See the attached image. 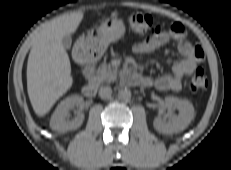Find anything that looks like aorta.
I'll return each mask as SVG.
<instances>
[{
    "mask_svg": "<svg viewBox=\"0 0 231 170\" xmlns=\"http://www.w3.org/2000/svg\"><path fill=\"white\" fill-rule=\"evenodd\" d=\"M118 98L122 101H130L131 99V91L128 89H121L118 92Z\"/></svg>",
    "mask_w": 231,
    "mask_h": 170,
    "instance_id": "762f6f07",
    "label": "aorta"
}]
</instances>
